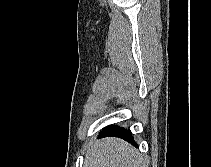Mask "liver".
Instances as JSON below:
<instances>
[{"mask_svg": "<svg viewBox=\"0 0 211 167\" xmlns=\"http://www.w3.org/2000/svg\"><path fill=\"white\" fill-rule=\"evenodd\" d=\"M84 167H146L137 150L118 138L96 141L87 150Z\"/></svg>", "mask_w": 211, "mask_h": 167, "instance_id": "liver-1", "label": "liver"}]
</instances>
